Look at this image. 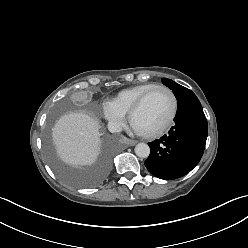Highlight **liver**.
Masks as SVG:
<instances>
[{"instance_id":"1","label":"liver","mask_w":248,"mask_h":248,"mask_svg":"<svg viewBox=\"0 0 248 248\" xmlns=\"http://www.w3.org/2000/svg\"><path fill=\"white\" fill-rule=\"evenodd\" d=\"M59 157L73 166L91 165L100 154L98 121L85 113L62 116L52 129Z\"/></svg>"}]
</instances>
